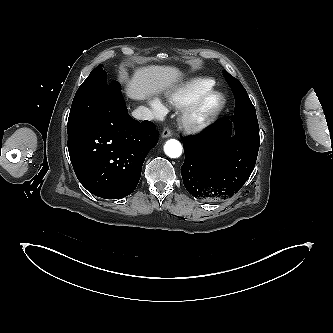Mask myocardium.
<instances>
[{"instance_id": "myocardium-1", "label": "myocardium", "mask_w": 333, "mask_h": 333, "mask_svg": "<svg viewBox=\"0 0 333 333\" xmlns=\"http://www.w3.org/2000/svg\"><path fill=\"white\" fill-rule=\"evenodd\" d=\"M227 103L225 94L210 89L186 106L181 115L183 128L192 133L203 132L215 123Z\"/></svg>"}]
</instances>
